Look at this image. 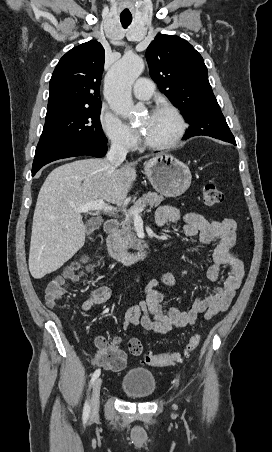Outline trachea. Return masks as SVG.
Here are the masks:
<instances>
[{
	"label": "trachea",
	"mask_w": 272,
	"mask_h": 452,
	"mask_svg": "<svg viewBox=\"0 0 272 452\" xmlns=\"http://www.w3.org/2000/svg\"><path fill=\"white\" fill-rule=\"evenodd\" d=\"M120 21L123 28H127L132 22V16H120Z\"/></svg>",
	"instance_id": "1"
}]
</instances>
